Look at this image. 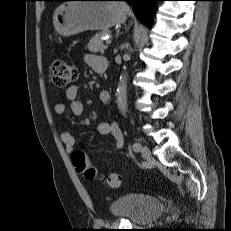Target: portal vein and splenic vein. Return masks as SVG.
Instances as JSON below:
<instances>
[{
    "label": "portal vein and splenic vein",
    "instance_id": "obj_1",
    "mask_svg": "<svg viewBox=\"0 0 231 231\" xmlns=\"http://www.w3.org/2000/svg\"><path fill=\"white\" fill-rule=\"evenodd\" d=\"M106 44H111V39L110 38L106 40Z\"/></svg>",
    "mask_w": 231,
    "mask_h": 231
}]
</instances>
